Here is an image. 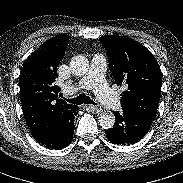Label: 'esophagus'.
<instances>
[{
  "label": "esophagus",
  "instance_id": "obj_1",
  "mask_svg": "<svg viewBox=\"0 0 183 183\" xmlns=\"http://www.w3.org/2000/svg\"><path fill=\"white\" fill-rule=\"evenodd\" d=\"M84 108L86 110H89V111H93L97 114L101 113L103 111V109L99 106H94V105H85Z\"/></svg>",
  "mask_w": 183,
  "mask_h": 183
}]
</instances>
